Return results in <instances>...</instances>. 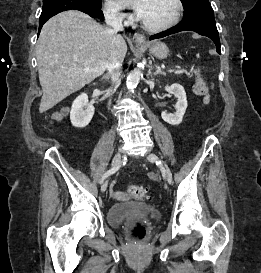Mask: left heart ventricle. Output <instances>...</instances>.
<instances>
[{
    "mask_svg": "<svg viewBox=\"0 0 261 273\" xmlns=\"http://www.w3.org/2000/svg\"><path fill=\"white\" fill-rule=\"evenodd\" d=\"M174 12L172 0H148L141 21L151 26L162 25L173 17Z\"/></svg>",
    "mask_w": 261,
    "mask_h": 273,
    "instance_id": "1",
    "label": "left heart ventricle"
}]
</instances>
